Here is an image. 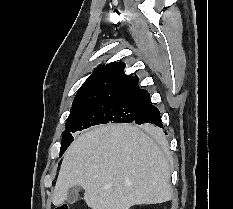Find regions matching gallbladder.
<instances>
[{
  "label": "gallbladder",
  "instance_id": "bac80fb5",
  "mask_svg": "<svg viewBox=\"0 0 233 209\" xmlns=\"http://www.w3.org/2000/svg\"><path fill=\"white\" fill-rule=\"evenodd\" d=\"M80 190H81V187L79 185H76V186L72 187L68 191V195H67V198H66L67 203H69V204L75 203L77 201V199H78Z\"/></svg>",
  "mask_w": 233,
  "mask_h": 209
}]
</instances>
